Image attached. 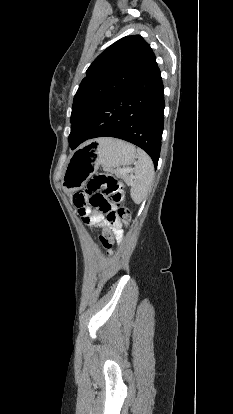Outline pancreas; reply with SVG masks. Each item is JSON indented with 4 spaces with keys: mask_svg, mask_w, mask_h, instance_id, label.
<instances>
[{
    "mask_svg": "<svg viewBox=\"0 0 233 414\" xmlns=\"http://www.w3.org/2000/svg\"><path fill=\"white\" fill-rule=\"evenodd\" d=\"M115 174L118 177L122 178L125 182H129L130 181V177H129V175L127 173H121L120 170H117V171H115Z\"/></svg>",
    "mask_w": 233,
    "mask_h": 414,
    "instance_id": "cf45deb5",
    "label": "pancreas"
}]
</instances>
